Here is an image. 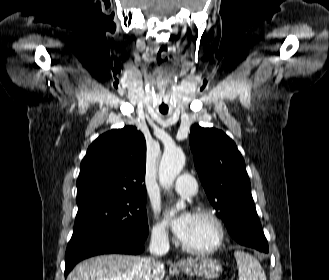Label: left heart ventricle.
I'll return each instance as SVG.
<instances>
[{
  "label": "left heart ventricle",
  "instance_id": "left-heart-ventricle-1",
  "mask_svg": "<svg viewBox=\"0 0 329 280\" xmlns=\"http://www.w3.org/2000/svg\"><path fill=\"white\" fill-rule=\"evenodd\" d=\"M216 237L214 226L205 218L195 215L183 242L194 248L210 246Z\"/></svg>",
  "mask_w": 329,
  "mask_h": 280
}]
</instances>
